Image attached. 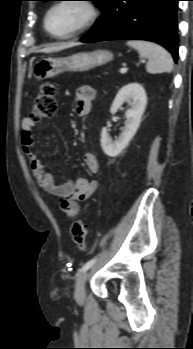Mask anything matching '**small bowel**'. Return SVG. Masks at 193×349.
<instances>
[{"instance_id": "obj_1", "label": "small bowel", "mask_w": 193, "mask_h": 349, "mask_svg": "<svg viewBox=\"0 0 193 349\" xmlns=\"http://www.w3.org/2000/svg\"><path fill=\"white\" fill-rule=\"evenodd\" d=\"M96 97V91L90 86H81L75 91L76 113L83 117L90 113L92 102ZM37 121L31 118H24L21 122V143L25 154L29 159L32 173L47 193L60 198V207L68 217H74L80 210L79 203L88 200L96 191L98 183L96 180H89L77 177L74 180H67L63 184H56L48 172V165L40 159L35 152V139L33 129ZM84 164L87 170L94 174L99 169V162L92 153L84 155Z\"/></svg>"}]
</instances>
